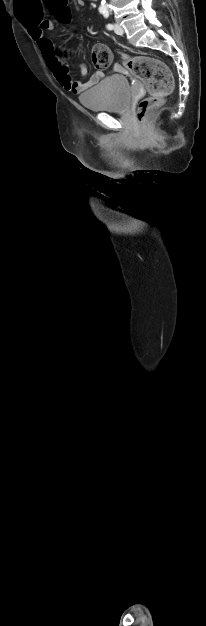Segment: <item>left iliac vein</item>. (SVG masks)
Listing matches in <instances>:
<instances>
[{
  "mask_svg": "<svg viewBox=\"0 0 206 626\" xmlns=\"http://www.w3.org/2000/svg\"><path fill=\"white\" fill-rule=\"evenodd\" d=\"M114 31H115V33H116V34H118V35H122V34L124 33V29H123V27H122L120 24H118V23H115V25H114Z\"/></svg>",
  "mask_w": 206,
  "mask_h": 626,
  "instance_id": "left-iliac-vein-1",
  "label": "left iliac vein"
}]
</instances>
